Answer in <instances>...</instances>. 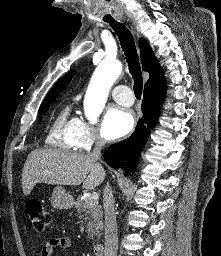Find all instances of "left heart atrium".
<instances>
[{
	"instance_id": "obj_1",
	"label": "left heart atrium",
	"mask_w": 221,
	"mask_h": 256,
	"mask_svg": "<svg viewBox=\"0 0 221 256\" xmlns=\"http://www.w3.org/2000/svg\"><path fill=\"white\" fill-rule=\"evenodd\" d=\"M134 125L133 115L119 106H110L103 118L102 134L109 140L126 135Z\"/></svg>"
}]
</instances>
